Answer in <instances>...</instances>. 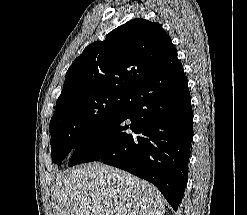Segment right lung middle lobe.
I'll return each mask as SVG.
<instances>
[{"label": "right lung middle lobe", "instance_id": "dd1d6c3e", "mask_svg": "<svg viewBox=\"0 0 247 215\" xmlns=\"http://www.w3.org/2000/svg\"><path fill=\"white\" fill-rule=\"evenodd\" d=\"M129 98L128 94L100 93L57 107L49 125L52 160L61 165L83 138L119 116Z\"/></svg>", "mask_w": 247, "mask_h": 215}]
</instances>
